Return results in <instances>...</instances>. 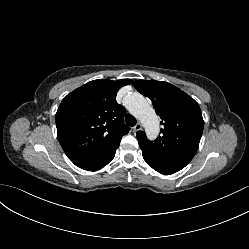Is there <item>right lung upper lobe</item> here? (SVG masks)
Returning a JSON list of instances; mask_svg holds the SVG:
<instances>
[{
	"instance_id": "obj_1",
	"label": "right lung upper lobe",
	"mask_w": 249,
	"mask_h": 249,
	"mask_svg": "<svg viewBox=\"0 0 249 249\" xmlns=\"http://www.w3.org/2000/svg\"><path fill=\"white\" fill-rule=\"evenodd\" d=\"M131 82L93 80L64 97L56 113V126L68 157L100 153L120 144L130 128L124 123L126 110L116 102V94Z\"/></svg>"
}]
</instances>
